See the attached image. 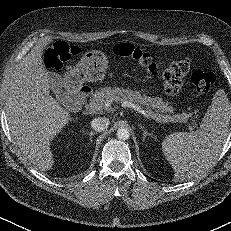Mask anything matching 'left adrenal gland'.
<instances>
[{
	"instance_id": "obj_1",
	"label": "left adrenal gland",
	"mask_w": 231,
	"mask_h": 231,
	"mask_svg": "<svg viewBox=\"0 0 231 231\" xmlns=\"http://www.w3.org/2000/svg\"><path fill=\"white\" fill-rule=\"evenodd\" d=\"M138 126H139V128L143 131V140H145V138H146L147 136H152V135H153V134L149 133V132L147 131V129H145V127L142 126L141 124H139Z\"/></svg>"
}]
</instances>
